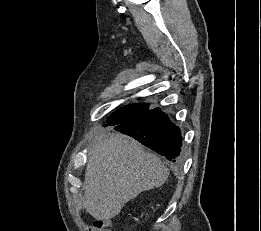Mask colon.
I'll list each match as a JSON object with an SVG mask.
<instances>
[{"label": "colon", "mask_w": 261, "mask_h": 231, "mask_svg": "<svg viewBox=\"0 0 261 231\" xmlns=\"http://www.w3.org/2000/svg\"><path fill=\"white\" fill-rule=\"evenodd\" d=\"M109 226H110V222L108 220L105 219L98 220L94 223L92 231H111Z\"/></svg>", "instance_id": "obj_1"}]
</instances>
